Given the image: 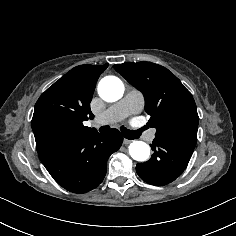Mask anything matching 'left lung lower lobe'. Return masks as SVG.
<instances>
[{
  "label": "left lung lower lobe",
  "mask_w": 236,
  "mask_h": 236,
  "mask_svg": "<svg viewBox=\"0 0 236 236\" xmlns=\"http://www.w3.org/2000/svg\"><path fill=\"white\" fill-rule=\"evenodd\" d=\"M154 151L150 160L139 163L136 171L145 182L163 186L171 183L186 169L194 149L172 141L155 138L150 144Z\"/></svg>",
  "instance_id": "left-lung-lower-lobe-1"
}]
</instances>
